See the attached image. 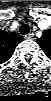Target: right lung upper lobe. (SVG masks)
Instances as JSON below:
<instances>
[{
  "label": "right lung upper lobe",
  "instance_id": "right-lung-upper-lobe-1",
  "mask_svg": "<svg viewBox=\"0 0 51 101\" xmlns=\"http://www.w3.org/2000/svg\"><path fill=\"white\" fill-rule=\"evenodd\" d=\"M21 41H23L21 35L0 30V63L6 62L12 56L16 46Z\"/></svg>",
  "mask_w": 51,
  "mask_h": 101
}]
</instances>
